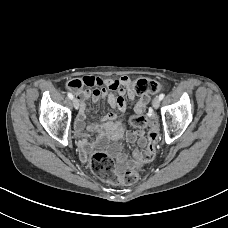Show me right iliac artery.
Listing matches in <instances>:
<instances>
[{
  "label": "right iliac artery",
  "mask_w": 228,
  "mask_h": 228,
  "mask_svg": "<svg viewBox=\"0 0 228 228\" xmlns=\"http://www.w3.org/2000/svg\"><path fill=\"white\" fill-rule=\"evenodd\" d=\"M70 99H73V95L71 93L67 94Z\"/></svg>",
  "instance_id": "right-iliac-artery-1"
}]
</instances>
